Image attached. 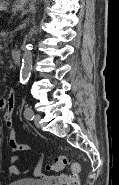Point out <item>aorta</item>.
Returning a JSON list of instances; mask_svg holds the SVG:
<instances>
[{"label": "aorta", "mask_w": 119, "mask_h": 185, "mask_svg": "<svg viewBox=\"0 0 119 185\" xmlns=\"http://www.w3.org/2000/svg\"><path fill=\"white\" fill-rule=\"evenodd\" d=\"M32 52L30 46L26 45L23 48L22 66L20 70V82L26 83L30 77L32 69Z\"/></svg>", "instance_id": "aorta-1"}]
</instances>
